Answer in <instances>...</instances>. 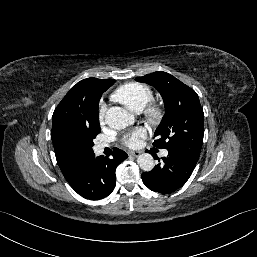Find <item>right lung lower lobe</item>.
Wrapping results in <instances>:
<instances>
[{"label":"right lung lower lobe","instance_id":"obj_1","mask_svg":"<svg viewBox=\"0 0 257 257\" xmlns=\"http://www.w3.org/2000/svg\"><path fill=\"white\" fill-rule=\"evenodd\" d=\"M112 158L95 157L91 154L79 167L73 178L68 180L70 186L82 197L99 200L108 196L115 187L116 167L128 155L118 148L114 149Z\"/></svg>","mask_w":257,"mask_h":257}]
</instances>
